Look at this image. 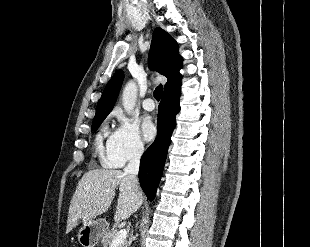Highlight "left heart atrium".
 <instances>
[{
	"label": "left heart atrium",
	"mask_w": 310,
	"mask_h": 247,
	"mask_svg": "<svg viewBox=\"0 0 310 247\" xmlns=\"http://www.w3.org/2000/svg\"><path fill=\"white\" fill-rule=\"evenodd\" d=\"M142 133L147 141L152 140L156 135V128L152 121L145 119L142 124Z\"/></svg>",
	"instance_id": "left-heart-atrium-1"
}]
</instances>
